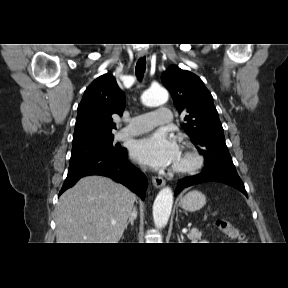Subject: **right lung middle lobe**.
Wrapping results in <instances>:
<instances>
[{
	"label": "right lung middle lobe",
	"mask_w": 288,
	"mask_h": 288,
	"mask_svg": "<svg viewBox=\"0 0 288 288\" xmlns=\"http://www.w3.org/2000/svg\"><path fill=\"white\" fill-rule=\"evenodd\" d=\"M114 136H108L102 139H98L92 142L84 143L81 145L72 146L70 163L79 161L81 159L100 155V154H110L117 155L123 151L121 147L113 146Z\"/></svg>",
	"instance_id": "obj_1"
}]
</instances>
